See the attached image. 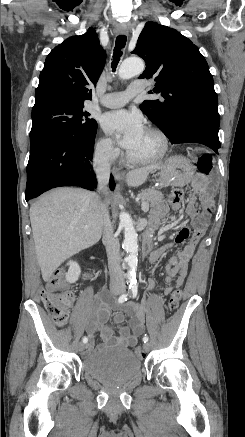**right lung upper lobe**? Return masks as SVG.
I'll use <instances>...</instances> for the list:
<instances>
[{"label":"right lung upper lobe","instance_id":"1","mask_svg":"<svg viewBox=\"0 0 245 437\" xmlns=\"http://www.w3.org/2000/svg\"><path fill=\"white\" fill-rule=\"evenodd\" d=\"M106 53L93 28L56 46L47 56L35 91V106L50 102L84 104L92 99Z\"/></svg>","mask_w":245,"mask_h":437}]
</instances>
